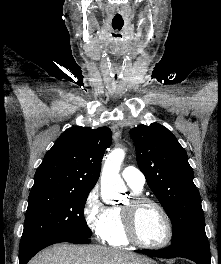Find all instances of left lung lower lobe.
Listing matches in <instances>:
<instances>
[{"label":"left lung lower lobe","mask_w":221,"mask_h":264,"mask_svg":"<svg viewBox=\"0 0 221 264\" xmlns=\"http://www.w3.org/2000/svg\"><path fill=\"white\" fill-rule=\"evenodd\" d=\"M152 257L174 258L183 257L194 261L197 264H211L210 247L207 237L185 238L169 247L160 250H137Z\"/></svg>","instance_id":"1"}]
</instances>
